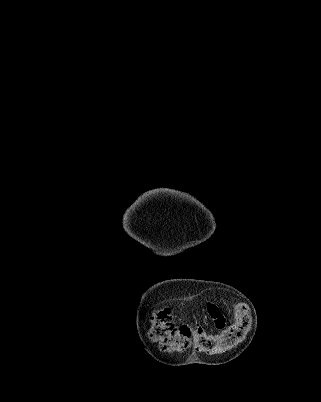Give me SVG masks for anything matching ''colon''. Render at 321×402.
<instances>
[{
  "label": "colon",
  "mask_w": 321,
  "mask_h": 402,
  "mask_svg": "<svg viewBox=\"0 0 321 402\" xmlns=\"http://www.w3.org/2000/svg\"><path fill=\"white\" fill-rule=\"evenodd\" d=\"M150 338L167 352H183L196 348L205 353H218L234 346L251 325V315L244 304H237L234 321L221 332L211 334L201 327L191 328L174 323L168 309L157 311L152 317Z\"/></svg>",
  "instance_id": "1"
}]
</instances>
